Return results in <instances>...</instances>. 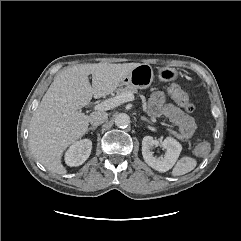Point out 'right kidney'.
Returning a JSON list of instances; mask_svg holds the SVG:
<instances>
[{"instance_id":"ca27d5eb","label":"right kidney","mask_w":241,"mask_h":241,"mask_svg":"<svg viewBox=\"0 0 241 241\" xmlns=\"http://www.w3.org/2000/svg\"><path fill=\"white\" fill-rule=\"evenodd\" d=\"M92 142L89 139H83L70 146L65 154V162L68 166H79L83 164L90 156Z\"/></svg>"}]
</instances>
